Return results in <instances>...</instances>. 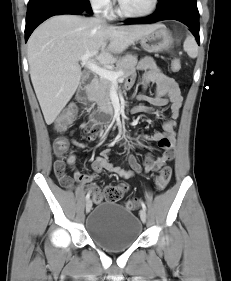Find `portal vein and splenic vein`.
Segmentation results:
<instances>
[{"instance_id": "1", "label": "portal vein and splenic vein", "mask_w": 231, "mask_h": 281, "mask_svg": "<svg viewBox=\"0 0 231 281\" xmlns=\"http://www.w3.org/2000/svg\"><path fill=\"white\" fill-rule=\"evenodd\" d=\"M96 53L97 51H94L92 53H86L85 55H83L80 58L82 65L87 67L92 72L98 74L100 77H103L110 81H118L119 78H121V76L123 75L122 71H118V72L110 71L90 61V58L93 57Z\"/></svg>"}]
</instances>
